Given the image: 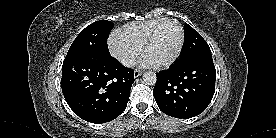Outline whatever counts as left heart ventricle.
<instances>
[{"mask_svg": "<svg viewBox=\"0 0 276 138\" xmlns=\"http://www.w3.org/2000/svg\"><path fill=\"white\" fill-rule=\"evenodd\" d=\"M180 30L173 22L163 24L145 53L154 65L161 64L173 57L180 43Z\"/></svg>", "mask_w": 276, "mask_h": 138, "instance_id": "obj_1", "label": "left heart ventricle"}]
</instances>
